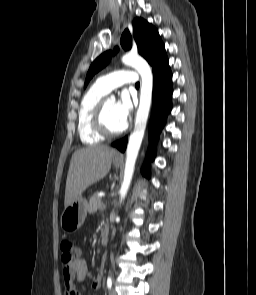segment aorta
Segmentation results:
<instances>
[{
  "label": "aorta",
  "mask_w": 256,
  "mask_h": 295,
  "mask_svg": "<svg viewBox=\"0 0 256 295\" xmlns=\"http://www.w3.org/2000/svg\"><path fill=\"white\" fill-rule=\"evenodd\" d=\"M122 62L127 66L133 67L140 74L141 92L134 130L130 135L127 145L124 180L120 189L121 200L125 198L132 180L136 159L144 137L148 120L153 88V76L151 68L142 57L137 54L127 53L122 57ZM114 99L115 97L111 96V100Z\"/></svg>",
  "instance_id": "1"
}]
</instances>
